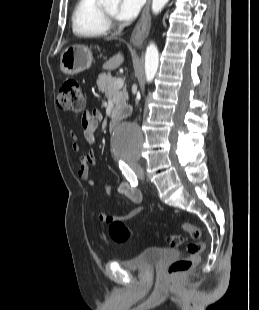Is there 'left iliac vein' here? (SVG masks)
Segmentation results:
<instances>
[{
  "label": "left iliac vein",
  "instance_id": "1",
  "mask_svg": "<svg viewBox=\"0 0 259 310\" xmlns=\"http://www.w3.org/2000/svg\"><path fill=\"white\" fill-rule=\"evenodd\" d=\"M134 171H135L136 175L138 176V178H140V179L144 178V172L140 166L134 167Z\"/></svg>",
  "mask_w": 259,
  "mask_h": 310
}]
</instances>
